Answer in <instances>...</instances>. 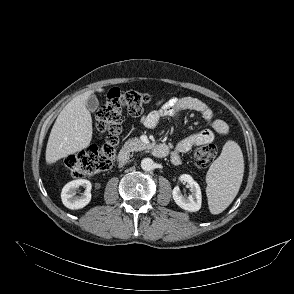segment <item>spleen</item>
I'll return each mask as SVG.
<instances>
[{
    "label": "spleen",
    "mask_w": 294,
    "mask_h": 294,
    "mask_svg": "<svg viewBox=\"0 0 294 294\" xmlns=\"http://www.w3.org/2000/svg\"><path fill=\"white\" fill-rule=\"evenodd\" d=\"M244 173L241 148L227 141L220 156L210 166L206 175V194L212 214L223 212L237 195Z\"/></svg>",
    "instance_id": "3e777b00"
}]
</instances>
